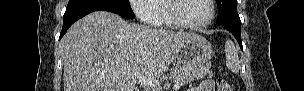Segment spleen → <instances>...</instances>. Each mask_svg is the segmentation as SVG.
<instances>
[{
    "label": "spleen",
    "mask_w": 304,
    "mask_h": 91,
    "mask_svg": "<svg viewBox=\"0 0 304 91\" xmlns=\"http://www.w3.org/2000/svg\"><path fill=\"white\" fill-rule=\"evenodd\" d=\"M226 52V66L233 73H238L240 70V61L237 50L232 41H227L225 45Z\"/></svg>",
    "instance_id": "obj_1"
}]
</instances>
